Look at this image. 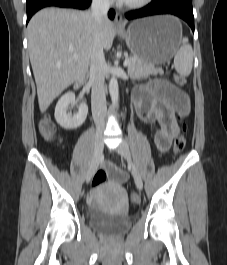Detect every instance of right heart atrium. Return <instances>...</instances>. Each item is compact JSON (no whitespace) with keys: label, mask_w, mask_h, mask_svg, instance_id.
Here are the masks:
<instances>
[{"label":"right heart atrium","mask_w":227,"mask_h":265,"mask_svg":"<svg viewBox=\"0 0 227 265\" xmlns=\"http://www.w3.org/2000/svg\"><path fill=\"white\" fill-rule=\"evenodd\" d=\"M99 1L104 3V4H108V3H110L111 0H99Z\"/></svg>","instance_id":"1"}]
</instances>
